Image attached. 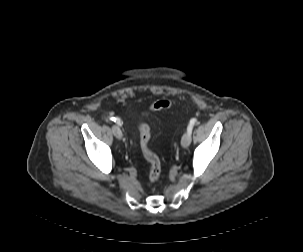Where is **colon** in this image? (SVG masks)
Returning a JSON list of instances; mask_svg holds the SVG:
<instances>
[{
  "instance_id": "1",
  "label": "colon",
  "mask_w": 303,
  "mask_h": 252,
  "mask_svg": "<svg viewBox=\"0 0 303 252\" xmlns=\"http://www.w3.org/2000/svg\"><path fill=\"white\" fill-rule=\"evenodd\" d=\"M172 105V102L168 99H162L154 102L150 106L151 111H159L163 109H167ZM146 115H144L145 117ZM139 130H140V147L142 150V153L145 157V159L149 163V178L152 182H156L161 173V164L159 158L152 152V150L149 147V141H150V128L148 124L141 121L139 124Z\"/></svg>"
}]
</instances>
